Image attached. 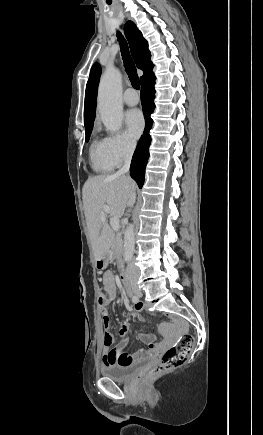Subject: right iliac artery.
<instances>
[{
  "mask_svg": "<svg viewBox=\"0 0 263 435\" xmlns=\"http://www.w3.org/2000/svg\"><path fill=\"white\" fill-rule=\"evenodd\" d=\"M132 301H133L134 303L138 302V297L135 296V295H133V296H132Z\"/></svg>",
  "mask_w": 263,
  "mask_h": 435,
  "instance_id": "82829eb1",
  "label": "right iliac artery"
}]
</instances>
